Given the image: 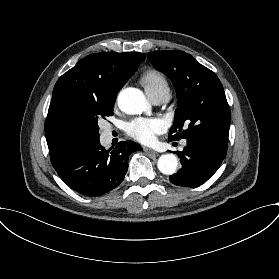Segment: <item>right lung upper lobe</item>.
<instances>
[{
  "label": "right lung upper lobe",
  "mask_w": 279,
  "mask_h": 279,
  "mask_svg": "<svg viewBox=\"0 0 279 279\" xmlns=\"http://www.w3.org/2000/svg\"><path fill=\"white\" fill-rule=\"evenodd\" d=\"M145 59V54L95 53L81 59L56 82L45 123V135L53 166L84 149L65 122L67 110L82 96L116 95Z\"/></svg>",
  "instance_id": "1"
}]
</instances>
